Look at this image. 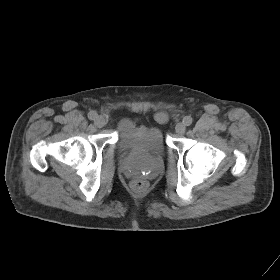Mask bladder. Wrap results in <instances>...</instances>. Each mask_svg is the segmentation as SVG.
<instances>
[{
    "label": "bladder",
    "mask_w": 280,
    "mask_h": 280,
    "mask_svg": "<svg viewBox=\"0 0 280 280\" xmlns=\"http://www.w3.org/2000/svg\"><path fill=\"white\" fill-rule=\"evenodd\" d=\"M118 146L124 152L161 156L166 150L163 133L156 126L140 125L132 119H122L118 126Z\"/></svg>",
    "instance_id": "1"
}]
</instances>
